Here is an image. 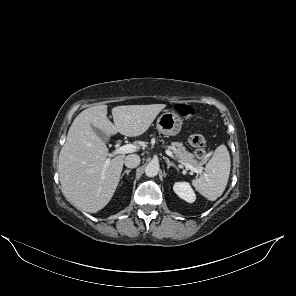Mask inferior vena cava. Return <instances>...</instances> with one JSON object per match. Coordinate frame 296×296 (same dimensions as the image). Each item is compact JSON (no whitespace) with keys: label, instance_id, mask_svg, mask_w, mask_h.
<instances>
[{"label":"inferior vena cava","instance_id":"obj_1","mask_svg":"<svg viewBox=\"0 0 296 296\" xmlns=\"http://www.w3.org/2000/svg\"><path fill=\"white\" fill-rule=\"evenodd\" d=\"M125 166L135 168L140 164V157L137 154H130L124 160Z\"/></svg>","mask_w":296,"mask_h":296}]
</instances>
